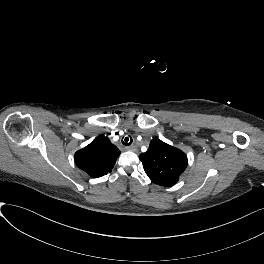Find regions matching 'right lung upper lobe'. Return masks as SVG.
Returning <instances> with one entry per match:
<instances>
[{
    "label": "right lung upper lobe",
    "instance_id": "1",
    "mask_svg": "<svg viewBox=\"0 0 264 264\" xmlns=\"http://www.w3.org/2000/svg\"><path fill=\"white\" fill-rule=\"evenodd\" d=\"M120 151L110 140L99 135L89 145L74 155L76 165L93 178L101 177L112 171Z\"/></svg>",
    "mask_w": 264,
    "mask_h": 264
}]
</instances>
